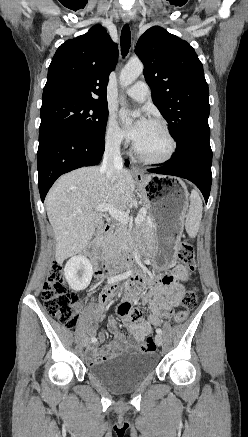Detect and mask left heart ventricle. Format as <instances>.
<instances>
[{"instance_id": "obj_1", "label": "left heart ventricle", "mask_w": 248, "mask_h": 437, "mask_svg": "<svg viewBox=\"0 0 248 437\" xmlns=\"http://www.w3.org/2000/svg\"><path fill=\"white\" fill-rule=\"evenodd\" d=\"M135 145L142 154L153 159L163 157L170 148V143L163 130L151 122Z\"/></svg>"}]
</instances>
